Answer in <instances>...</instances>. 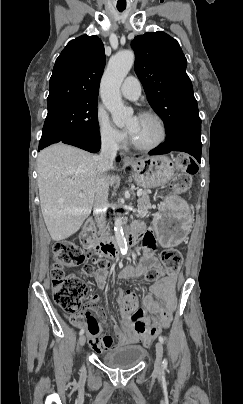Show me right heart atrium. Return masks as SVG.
I'll list each match as a JSON object with an SVG mask.
<instances>
[{
    "label": "right heart atrium",
    "instance_id": "right-heart-atrium-1",
    "mask_svg": "<svg viewBox=\"0 0 243 404\" xmlns=\"http://www.w3.org/2000/svg\"><path fill=\"white\" fill-rule=\"evenodd\" d=\"M100 142L110 148L121 150L127 144L126 135L114 127L105 110L98 107L95 115Z\"/></svg>",
    "mask_w": 243,
    "mask_h": 404
}]
</instances>
